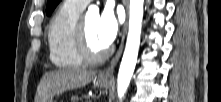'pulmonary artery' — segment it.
<instances>
[{"instance_id": "e3ab8cb5", "label": "pulmonary artery", "mask_w": 221, "mask_h": 102, "mask_svg": "<svg viewBox=\"0 0 221 102\" xmlns=\"http://www.w3.org/2000/svg\"><path fill=\"white\" fill-rule=\"evenodd\" d=\"M73 1L85 7L91 0H73Z\"/></svg>"}]
</instances>
